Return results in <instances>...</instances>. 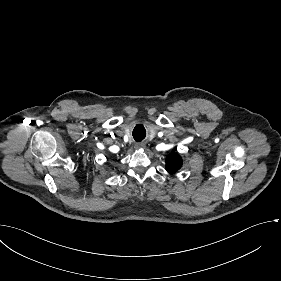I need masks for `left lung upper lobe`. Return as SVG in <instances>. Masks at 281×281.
Returning <instances> with one entry per match:
<instances>
[{"label":"left lung upper lobe","mask_w":281,"mask_h":281,"mask_svg":"<svg viewBox=\"0 0 281 281\" xmlns=\"http://www.w3.org/2000/svg\"><path fill=\"white\" fill-rule=\"evenodd\" d=\"M182 166V159L177 153H171L166 158V170L170 174L176 173Z\"/></svg>","instance_id":"5c2ea615"}]
</instances>
